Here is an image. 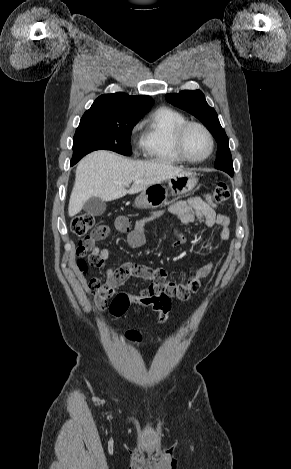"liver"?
Here are the masks:
<instances>
[{
  "mask_svg": "<svg viewBox=\"0 0 291 469\" xmlns=\"http://www.w3.org/2000/svg\"><path fill=\"white\" fill-rule=\"evenodd\" d=\"M183 170L156 161H134L110 151L99 150L85 156L77 165L68 214H78L91 197L112 201L143 191ZM132 183L129 190L126 186Z\"/></svg>",
  "mask_w": 291,
  "mask_h": 469,
  "instance_id": "6515ba94",
  "label": "liver"
}]
</instances>
